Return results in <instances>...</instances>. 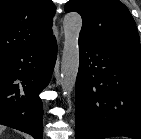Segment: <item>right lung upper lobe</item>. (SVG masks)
<instances>
[{"label": "right lung upper lobe", "mask_w": 141, "mask_h": 139, "mask_svg": "<svg viewBox=\"0 0 141 139\" xmlns=\"http://www.w3.org/2000/svg\"><path fill=\"white\" fill-rule=\"evenodd\" d=\"M52 0H0V55L53 35Z\"/></svg>", "instance_id": "1"}]
</instances>
